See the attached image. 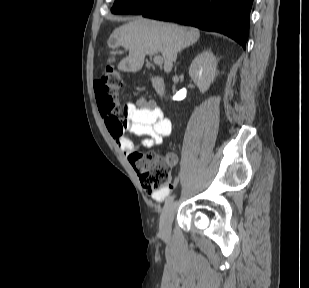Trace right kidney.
Segmentation results:
<instances>
[{"label":"right kidney","instance_id":"obj_1","mask_svg":"<svg viewBox=\"0 0 309 288\" xmlns=\"http://www.w3.org/2000/svg\"><path fill=\"white\" fill-rule=\"evenodd\" d=\"M217 61L210 50L203 51L191 63L189 75L201 93L206 92L216 76Z\"/></svg>","mask_w":309,"mask_h":288}]
</instances>
